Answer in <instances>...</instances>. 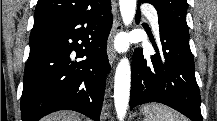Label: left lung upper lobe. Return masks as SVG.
Segmentation results:
<instances>
[{
	"instance_id": "obj_1",
	"label": "left lung upper lobe",
	"mask_w": 217,
	"mask_h": 121,
	"mask_svg": "<svg viewBox=\"0 0 217 121\" xmlns=\"http://www.w3.org/2000/svg\"><path fill=\"white\" fill-rule=\"evenodd\" d=\"M151 3L157 10L158 15L172 23L180 31L189 35L186 23L187 1L186 0H145Z\"/></svg>"
}]
</instances>
